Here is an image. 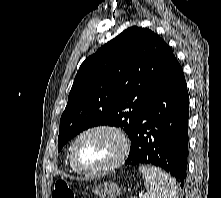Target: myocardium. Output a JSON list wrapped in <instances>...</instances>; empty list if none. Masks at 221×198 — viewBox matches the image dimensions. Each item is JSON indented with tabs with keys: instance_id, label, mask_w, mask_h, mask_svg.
I'll return each mask as SVG.
<instances>
[{
	"instance_id": "f54148a6",
	"label": "myocardium",
	"mask_w": 221,
	"mask_h": 198,
	"mask_svg": "<svg viewBox=\"0 0 221 198\" xmlns=\"http://www.w3.org/2000/svg\"><path fill=\"white\" fill-rule=\"evenodd\" d=\"M98 131H105L113 134L119 141L120 149L116 157L109 164L98 169H87L79 165V163L76 160V155H75L76 145L82 137ZM129 149H130L129 139L121 128L111 124H97L82 130L74 138L70 146L69 158L72 166L77 172L89 176H99L109 173L114 169L118 168L128 156Z\"/></svg>"
}]
</instances>
